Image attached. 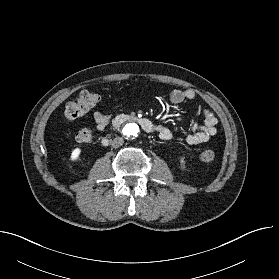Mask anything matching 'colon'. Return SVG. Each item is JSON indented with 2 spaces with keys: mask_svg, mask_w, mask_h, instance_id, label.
<instances>
[{
  "mask_svg": "<svg viewBox=\"0 0 279 279\" xmlns=\"http://www.w3.org/2000/svg\"><path fill=\"white\" fill-rule=\"evenodd\" d=\"M98 102V94L89 90L82 91L75 100L66 105L64 110L65 120L71 122L80 118L94 108ZM92 138V132L88 128H82L76 134V140L79 143L88 144L92 141ZM214 158V151L208 147L203 148L199 153V159L202 162H211Z\"/></svg>",
  "mask_w": 279,
  "mask_h": 279,
  "instance_id": "colon-1",
  "label": "colon"
}]
</instances>
